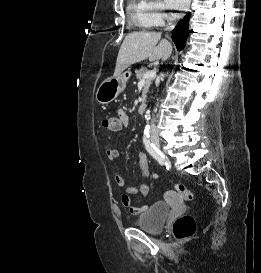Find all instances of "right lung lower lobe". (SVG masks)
Segmentation results:
<instances>
[{
    "instance_id": "obj_1",
    "label": "right lung lower lobe",
    "mask_w": 261,
    "mask_h": 273,
    "mask_svg": "<svg viewBox=\"0 0 261 273\" xmlns=\"http://www.w3.org/2000/svg\"><path fill=\"white\" fill-rule=\"evenodd\" d=\"M190 19V13L188 12L186 16L178 22L175 29L172 31V40L174 41L178 50H182L185 46L186 39L190 30L188 29Z\"/></svg>"
}]
</instances>
